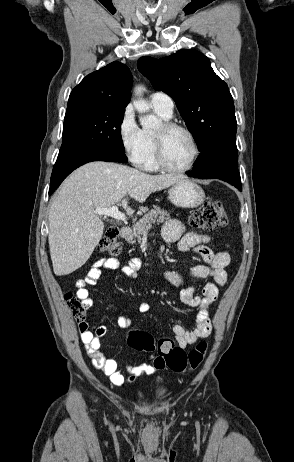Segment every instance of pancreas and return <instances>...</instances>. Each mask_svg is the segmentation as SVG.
Returning a JSON list of instances; mask_svg holds the SVG:
<instances>
[{"label":"pancreas","mask_w":294,"mask_h":462,"mask_svg":"<svg viewBox=\"0 0 294 462\" xmlns=\"http://www.w3.org/2000/svg\"><path fill=\"white\" fill-rule=\"evenodd\" d=\"M169 218V213L165 210H161L160 208L150 210L133 227V232L127 237V241L134 244L137 239V241L140 242L143 239V236H145L148 230L152 227V224L163 223Z\"/></svg>","instance_id":"obj_1"}]
</instances>
